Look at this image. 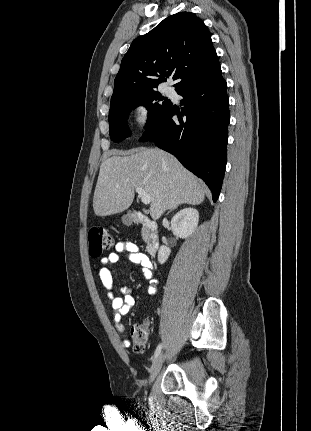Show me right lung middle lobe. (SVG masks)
Here are the masks:
<instances>
[{
    "instance_id": "obj_1",
    "label": "right lung middle lobe",
    "mask_w": 311,
    "mask_h": 431,
    "mask_svg": "<svg viewBox=\"0 0 311 431\" xmlns=\"http://www.w3.org/2000/svg\"><path fill=\"white\" fill-rule=\"evenodd\" d=\"M140 105L145 106L148 110L147 126L163 114L172 105V102L162 97L156 90L111 99L109 126L112 141L120 142L131 135L126 127L125 119L132 109Z\"/></svg>"
}]
</instances>
